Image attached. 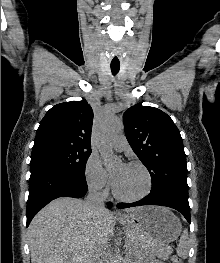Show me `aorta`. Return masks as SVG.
Segmentation results:
<instances>
[{"mask_svg": "<svg viewBox=\"0 0 220 263\" xmlns=\"http://www.w3.org/2000/svg\"><path fill=\"white\" fill-rule=\"evenodd\" d=\"M122 127V120L117 117H107L101 125L98 148L106 168H111L118 161L113 154L112 140Z\"/></svg>", "mask_w": 220, "mask_h": 263, "instance_id": "1", "label": "aorta"}]
</instances>
